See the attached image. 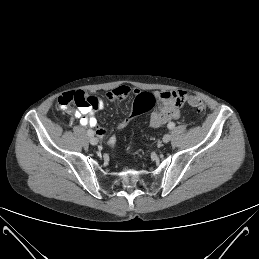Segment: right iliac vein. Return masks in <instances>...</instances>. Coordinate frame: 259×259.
Wrapping results in <instances>:
<instances>
[{"mask_svg":"<svg viewBox=\"0 0 259 259\" xmlns=\"http://www.w3.org/2000/svg\"><path fill=\"white\" fill-rule=\"evenodd\" d=\"M90 143L92 145H97L98 144V139L94 136H91L90 139H89Z\"/></svg>","mask_w":259,"mask_h":259,"instance_id":"right-iliac-vein-1","label":"right iliac vein"}]
</instances>
